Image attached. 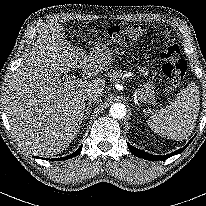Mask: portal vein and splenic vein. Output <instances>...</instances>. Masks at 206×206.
<instances>
[{"label":"portal vein and splenic vein","instance_id":"portal-vein-and-splenic-vein-1","mask_svg":"<svg viewBox=\"0 0 206 206\" xmlns=\"http://www.w3.org/2000/svg\"><path fill=\"white\" fill-rule=\"evenodd\" d=\"M82 80L81 79H77L76 77L72 76V77H68L65 79V85H69V86H80V84H82Z\"/></svg>","mask_w":206,"mask_h":206}]
</instances>
